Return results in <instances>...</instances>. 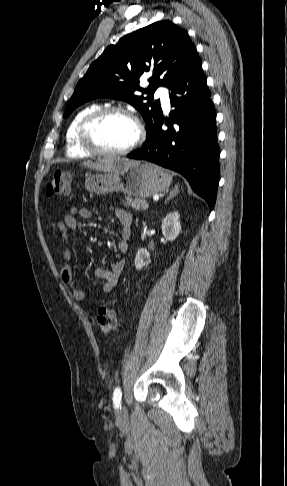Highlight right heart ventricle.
<instances>
[{"mask_svg":"<svg viewBox=\"0 0 287 486\" xmlns=\"http://www.w3.org/2000/svg\"><path fill=\"white\" fill-rule=\"evenodd\" d=\"M100 108L96 104L86 106L79 110L72 118L65 135V148L66 154L70 158H86L90 154L86 152L79 144L78 141V129L82 120L91 112Z\"/></svg>","mask_w":287,"mask_h":486,"instance_id":"e07e8e85","label":"right heart ventricle"}]
</instances>
